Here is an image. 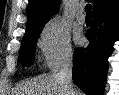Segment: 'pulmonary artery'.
I'll list each match as a JSON object with an SVG mask.
<instances>
[{"mask_svg": "<svg viewBox=\"0 0 119 95\" xmlns=\"http://www.w3.org/2000/svg\"><path fill=\"white\" fill-rule=\"evenodd\" d=\"M76 17H77V20H78L79 23H81V24L85 23L86 17H85V14H84L83 7H79Z\"/></svg>", "mask_w": 119, "mask_h": 95, "instance_id": "pulmonary-artery-1", "label": "pulmonary artery"}]
</instances>
